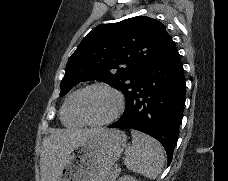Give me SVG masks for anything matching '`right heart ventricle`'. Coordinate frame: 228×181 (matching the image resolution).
Instances as JSON below:
<instances>
[{"mask_svg": "<svg viewBox=\"0 0 228 181\" xmlns=\"http://www.w3.org/2000/svg\"><path fill=\"white\" fill-rule=\"evenodd\" d=\"M79 91L73 92L66 100L62 109V120L69 127H79L83 125V121L77 116L75 111V100Z\"/></svg>", "mask_w": 228, "mask_h": 181, "instance_id": "1", "label": "right heart ventricle"}]
</instances>
